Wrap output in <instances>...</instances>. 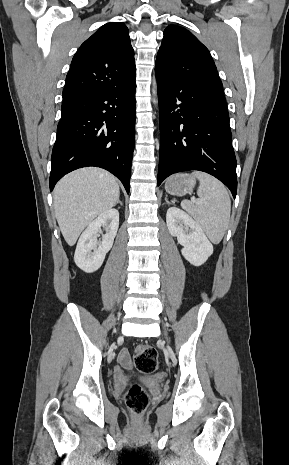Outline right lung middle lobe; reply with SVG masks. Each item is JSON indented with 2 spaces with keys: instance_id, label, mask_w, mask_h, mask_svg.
Wrapping results in <instances>:
<instances>
[{
  "instance_id": "right-lung-middle-lobe-1",
  "label": "right lung middle lobe",
  "mask_w": 289,
  "mask_h": 465,
  "mask_svg": "<svg viewBox=\"0 0 289 465\" xmlns=\"http://www.w3.org/2000/svg\"><path fill=\"white\" fill-rule=\"evenodd\" d=\"M78 107V104H70V105H63L62 106V115L61 118L67 117L70 114H72L76 108Z\"/></svg>"
}]
</instances>
